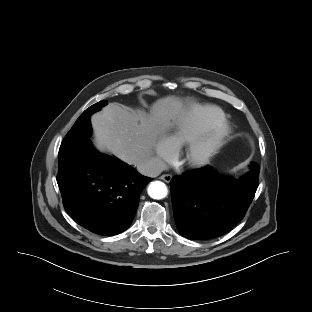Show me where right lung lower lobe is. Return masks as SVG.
Returning a JSON list of instances; mask_svg holds the SVG:
<instances>
[{
  "label": "right lung lower lobe",
  "instance_id": "right-lung-lower-lobe-1",
  "mask_svg": "<svg viewBox=\"0 0 312 312\" xmlns=\"http://www.w3.org/2000/svg\"><path fill=\"white\" fill-rule=\"evenodd\" d=\"M151 180L121 160L98 153L90 142L57 176L68 214L85 229L104 236L128 228Z\"/></svg>",
  "mask_w": 312,
  "mask_h": 312
}]
</instances>
